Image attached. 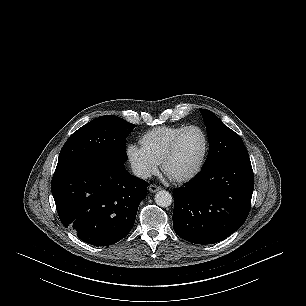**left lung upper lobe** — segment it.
<instances>
[{
    "label": "left lung upper lobe",
    "mask_w": 306,
    "mask_h": 306,
    "mask_svg": "<svg viewBox=\"0 0 306 306\" xmlns=\"http://www.w3.org/2000/svg\"><path fill=\"white\" fill-rule=\"evenodd\" d=\"M209 136V153L202 167L205 169L215 163L249 157L241 137L225 126L211 111L200 109Z\"/></svg>",
    "instance_id": "obj_1"
}]
</instances>
